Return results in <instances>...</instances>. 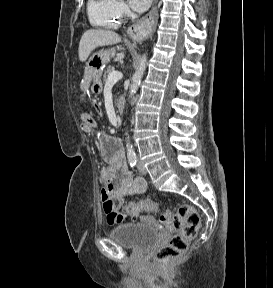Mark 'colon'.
Segmentation results:
<instances>
[{
  "label": "colon",
  "instance_id": "1",
  "mask_svg": "<svg viewBox=\"0 0 273 288\" xmlns=\"http://www.w3.org/2000/svg\"><path fill=\"white\" fill-rule=\"evenodd\" d=\"M95 109L99 110V107L96 105ZM125 210L135 217L144 211L158 212L159 204L151 200H143L137 203H129ZM159 220L166 228L175 232L169 242L158 249L155 254L157 263L166 264L185 254L190 241L194 239L199 230L201 219L194 207L182 204L174 212L170 210L163 211Z\"/></svg>",
  "mask_w": 273,
  "mask_h": 288
}]
</instances>
